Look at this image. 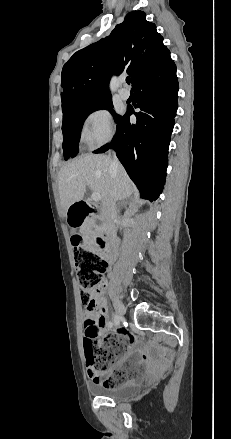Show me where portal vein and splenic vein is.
I'll list each match as a JSON object with an SVG mask.
<instances>
[{"mask_svg": "<svg viewBox=\"0 0 231 439\" xmlns=\"http://www.w3.org/2000/svg\"><path fill=\"white\" fill-rule=\"evenodd\" d=\"M91 199H92L93 201L97 202V201H99V200L101 199V196H100L99 193L94 192V193H92V195H91Z\"/></svg>", "mask_w": 231, "mask_h": 439, "instance_id": "1", "label": "portal vein and splenic vein"}]
</instances>
